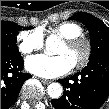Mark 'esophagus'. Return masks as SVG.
Instances as JSON below:
<instances>
[{
    "instance_id": "34e87169",
    "label": "esophagus",
    "mask_w": 109,
    "mask_h": 109,
    "mask_svg": "<svg viewBox=\"0 0 109 109\" xmlns=\"http://www.w3.org/2000/svg\"><path fill=\"white\" fill-rule=\"evenodd\" d=\"M41 82H42L43 84H45V85L51 83L50 80H45V79H41Z\"/></svg>"
}]
</instances>
